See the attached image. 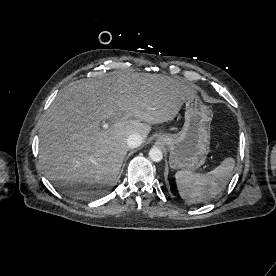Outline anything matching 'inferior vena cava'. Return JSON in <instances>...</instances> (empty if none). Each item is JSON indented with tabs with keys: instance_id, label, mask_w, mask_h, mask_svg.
Instances as JSON below:
<instances>
[{
	"instance_id": "1",
	"label": "inferior vena cava",
	"mask_w": 276,
	"mask_h": 276,
	"mask_svg": "<svg viewBox=\"0 0 276 276\" xmlns=\"http://www.w3.org/2000/svg\"><path fill=\"white\" fill-rule=\"evenodd\" d=\"M143 142V138L140 134H131L128 138H127V145L129 148H136L139 147Z\"/></svg>"
}]
</instances>
